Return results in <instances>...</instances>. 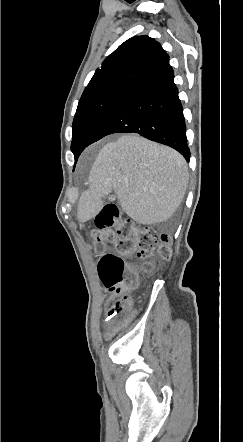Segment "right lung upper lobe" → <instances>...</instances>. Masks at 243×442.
Here are the masks:
<instances>
[{
	"label": "right lung upper lobe",
	"instance_id": "1",
	"mask_svg": "<svg viewBox=\"0 0 243 442\" xmlns=\"http://www.w3.org/2000/svg\"><path fill=\"white\" fill-rule=\"evenodd\" d=\"M171 66L161 45L149 36L122 43L97 69L80 101L116 91H132Z\"/></svg>",
	"mask_w": 243,
	"mask_h": 442
}]
</instances>
